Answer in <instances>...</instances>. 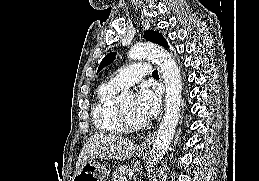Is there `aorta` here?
I'll list each match as a JSON object with an SVG mask.
<instances>
[{"mask_svg": "<svg viewBox=\"0 0 259 181\" xmlns=\"http://www.w3.org/2000/svg\"><path fill=\"white\" fill-rule=\"evenodd\" d=\"M128 57L133 60L146 58L153 60L160 67L165 81V114L157 131L152 148L153 164L155 165L159 163L167 152L178 124L182 93L180 69L169 52L152 43L135 44L130 49ZM132 98L133 94L129 91H125L120 94L117 101L123 103Z\"/></svg>", "mask_w": 259, "mask_h": 181, "instance_id": "762f6f07", "label": "aorta"}]
</instances>
